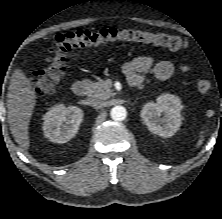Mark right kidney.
Listing matches in <instances>:
<instances>
[{
	"mask_svg": "<svg viewBox=\"0 0 222 219\" xmlns=\"http://www.w3.org/2000/svg\"><path fill=\"white\" fill-rule=\"evenodd\" d=\"M43 119L44 136L54 143H66L78 132L83 111L76 106L58 104L49 108Z\"/></svg>",
	"mask_w": 222,
	"mask_h": 219,
	"instance_id": "right-kidney-1",
	"label": "right kidney"
}]
</instances>
